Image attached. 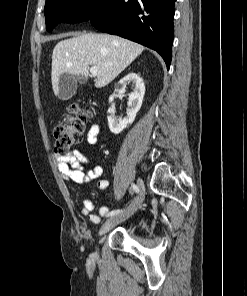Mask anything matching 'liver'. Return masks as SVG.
I'll list each match as a JSON object with an SVG mask.
<instances>
[{"label": "liver", "instance_id": "liver-1", "mask_svg": "<svg viewBox=\"0 0 247 296\" xmlns=\"http://www.w3.org/2000/svg\"><path fill=\"white\" fill-rule=\"evenodd\" d=\"M144 50L133 41L108 34H81L56 44L52 54L51 81L54 94L59 93L62 74L88 78L90 65L96 66L95 87L102 88L113 81Z\"/></svg>", "mask_w": 247, "mask_h": 296}]
</instances>
